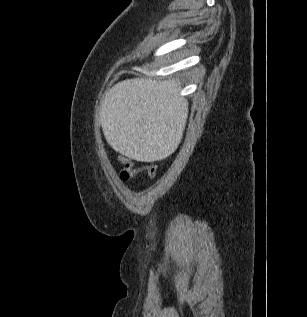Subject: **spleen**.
<instances>
[{"mask_svg":"<svg viewBox=\"0 0 307 317\" xmlns=\"http://www.w3.org/2000/svg\"><path fill=\"white\" fill-rule=\"evenodd\" d=\"M174 81L126 80L106 95L100 120L110 146L135 160H164L181 148L176 139L187 101Z\"/></svg>","mask_w":307,"mask_h":317,"instance_id":"spleen-1","label":"spleen"}]
</instances>
